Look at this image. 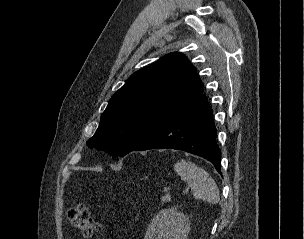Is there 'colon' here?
<instances>
[{"label":"colon","mask_w":304,"mask_h":239,"mask_svg":"<svg viewBox=\"0 0 304 239\" xmlns=\"http://www.w3.org/2000/svg\"><path fill=\"white\" fill-rule=\"evenodd\" d=\"M67 217L72 227L84 237L92 238L99 236L101 225L91 217L85 204L80 203L71 207L67 212Z\"/></svg>","instance_id":"obj_1"}]
</instances>
